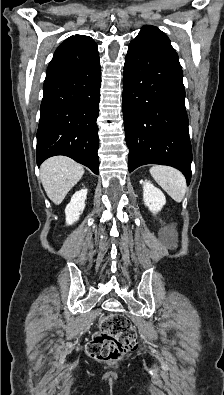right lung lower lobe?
<instances>
[{
  "label": "right lung lower lobe",
  "mask_w": 224,
  "mask_h": 395,
  "mask_svg": "<svg viewBox=\"0 0 224 395\" xmlns=\"http://www.w3.org/2000/svg\"><path fill=\"white\" fill-rule=\"evenodd\" d=\"M101 67L98 51L69 37L55 51L44 81L37 131V164L65 155L98 174Z\"/></svg>",
  "instance_id": "1"
}]
</instances>
